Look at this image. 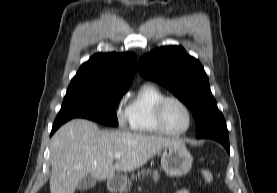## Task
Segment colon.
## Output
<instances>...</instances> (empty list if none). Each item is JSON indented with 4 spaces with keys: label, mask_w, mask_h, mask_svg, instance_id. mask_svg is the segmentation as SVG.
Segmentation results:
<instances>
[{
    "label": "colon",
    "mask_w": 277,
    "mask_h": 193,
    "mask_svg": "<svg viewBox=\"0 0 277 193\" xmlns=\"http://www.w3.org/2000/svg\"><path fill=\"white\" fill-rule=\"evenodd\" d=\"M201 175H202L203 180H204L206 183L210 184V183L213 182V174H212V172H211L210 170H208V169H203V170L201 171Z\"/></svg>",
    "instance_id": "1"
}]
</instances>
